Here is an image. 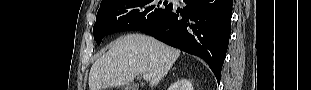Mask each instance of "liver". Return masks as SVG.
Wrapping results in <instances>:
<instances>
[{
	"label": "liver",
	"instance_id": "liver-1",
	"mask_svg": "<svg viewBox=\"0 0 311 90\" xmlns=\"http://www.w3.org/2000/svg\"><path fill=\"white\" fill-rule=\"evenodd\" d=\"M180 51L142 34L119 38L94 62L89 73V90L129 85L139 74L150 76L153 88L168 74Z\"/></svg>",
	"mask_w": 311,
	"mask_h": 90
}]
</instances>
